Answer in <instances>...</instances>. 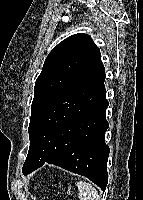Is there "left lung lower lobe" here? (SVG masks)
I'll return each mask as SVG.
<instances>
[{"mask_svg": "<svg viewBox=\"0 0 143 200\" xmlns=\"http://www.w3.org/2000/svg\"><path fill=\"white\" fill-rule=\"evenodd\" d=\"M105 69L100 53L37 115L24 175L49 163L86 176L103 191L108 182L109 147Z\"/></svg>", "mask_w": 143, "mask_h": 200, "instance_id": "1", "label": "left lung lower lobe"}]
</instances>
